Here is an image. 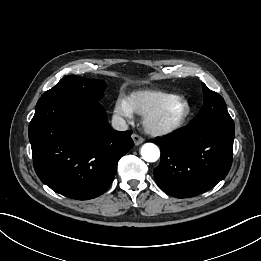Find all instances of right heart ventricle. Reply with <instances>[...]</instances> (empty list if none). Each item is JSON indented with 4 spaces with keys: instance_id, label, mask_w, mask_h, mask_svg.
Masks as SVG:
<instances>
[{
    "instance_id": "e07e8e85",
    "label": "right heart ventricle",
    "mask_w": 261,
    "mask_h": 261,
    "mask_svg": "<svg viewBox=\"0 0 261 261\" xmlns=\"http://www.w3.org/2000/svg\"><path fill=\"white\" fill-rule=\"evenodd\" d=\"M170 96L172 95L163 91L141 90L132 93L129 96L128 101L134 112L140 115H145L159 106Z\"/></svg>"
}]
</instances>
